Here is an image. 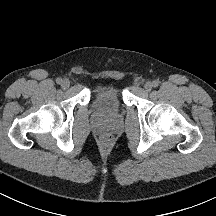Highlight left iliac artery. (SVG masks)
Wrapping results in <instances>:
<instances>
[{
	"mask_svg": "<svg viewBox=\"0 0 216 216\" xmlns=\"http://www.w3.org/2000/svg\"><path fill=\"white\" fill-rule=\"evenodd\" d=\"M152 85L153 87H157L159 85V81L158 80L153 81Z\"/></svg>",
	"mask_w": 216,
	"mask_h": 216,
	"instance_id": "left-iliac-artery-1",
	"label": "left iliac artery"
}]
</instances>
